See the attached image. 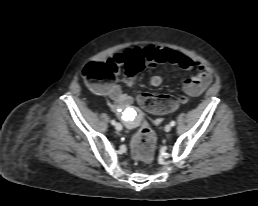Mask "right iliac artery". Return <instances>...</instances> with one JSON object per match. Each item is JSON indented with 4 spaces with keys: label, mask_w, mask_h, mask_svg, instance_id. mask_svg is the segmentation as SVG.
Listing matches in <instances>:
<instances>
[{
    "label": "right iliac artery",
    "mask_w": 258,
    "mask_h": 206,
    "mask_svg": "<svg viewBox=\"0 0 258 206\" xmlns=\"http://www.w3.org/2000/svg\"><path fill=\"white\" fill-rule=\"evenodd\" d=\"M111 124L112 125H115L116 124V121L113 119V120H111Z\"/></svg>",
    "instance_id": "obj_1"
}]
</instances>
